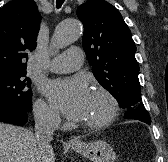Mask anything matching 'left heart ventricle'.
Returning a JSON list of instances; mask_svg holds the SVG:
<instances>
[{"label": "left heart ventricle", "instance_id": "b2bd125f", "mask_svg": "<svg viewBox=\"0 0 168 162\" xmlns=\"http://www.w3.org/2000/svg\"><path fill=\"white\" fill-rule=\"evenodd\" d=\"M107 112L106 100L98 95L91 94L83 122L96 121L101 119Z\"/></svg>", "mask_w": 168, "mask_h": 162}]
</instances>
